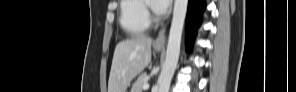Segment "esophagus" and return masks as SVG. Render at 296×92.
Segmentation results:
<instances>
[{
  "label": "esophagus",
  "mask_w": 296,
  "mask_h": 92,
  "mask_svg": "<svg viewBox=\"0 0 296 92\" xmlns=\"http://www.w3.org/2000/svg\"><path fill=\"white\" fill-rule=\"evenodd\" d=\"M166 30H167V26H164L161 31L159 32L157 38L155 39L154 45L156 47H161L163 46L164 42H165V36H166Z\"/></svg>",
  "instance_id": "34e87169"
}]
</instances>
